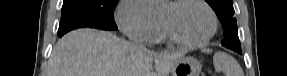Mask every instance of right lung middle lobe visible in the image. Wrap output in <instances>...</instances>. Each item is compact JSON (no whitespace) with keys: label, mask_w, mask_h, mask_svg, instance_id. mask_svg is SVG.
Instances as JSON below:
<instances>
[{"label":"right lung middle lobe","mask_w":287,"mask_h":76,"mask_svg":"<svg viewBox=\"0 0 287 76\" xmlns=\"http://www.w3.org/2000/svg\"><path fill=\"white\" fill-rule=\"evenodd\" d=\"M118 0H64L58 36L82 27L117 30L113 10Z\"/></svg>","instance_id":"obj_1"}]
</instances>
